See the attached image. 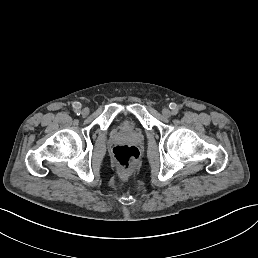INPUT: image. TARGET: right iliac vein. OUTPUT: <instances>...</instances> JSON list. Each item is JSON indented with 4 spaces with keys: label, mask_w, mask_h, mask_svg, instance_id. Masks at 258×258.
Listing matches in <instances>:
<instances>
[{
    "label": "right iliac vein",
    "mask_w": 258,
    "mask_h": 258,
    "mask_svg": "<svg viewBox=\"0 0 258 258\" xmlns=\"http://www.w3.org/2000/svg\"><path fill=\"white\" fill-rule=\"evenodd\" d=\"M81 113H82V115H83V116H85V117H86V116H88V115H89V113H90V112H89V110H88V109H86V108H85V109H83V110H82V112H81Z\"/></svg>",
    "instance_id": "obj_1"
}]
</instances>
